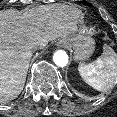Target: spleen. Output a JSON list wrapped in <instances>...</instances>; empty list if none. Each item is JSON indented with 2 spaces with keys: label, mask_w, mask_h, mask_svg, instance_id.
Returning a JSON list of instances; mask_svg holds the SVG:
<instances>
[{
  "label": "spleen",
  "mask_w": 117,
  "mask_h": 117,
  "mask_svg": "<svg viewBox=\"0 0 117 117\" xmlns=\"http://www.w3.org/2000/svg\"><path fill=\"white\" fill-rule=\"evenodd\" d=\"M78 71L82 79L98 91H106L117 83V54L105 47L103 54L94 62L80 64Z\"/></svg>",
  "instance_id": "1"
}]
</instances>
